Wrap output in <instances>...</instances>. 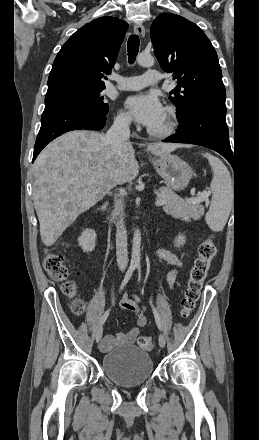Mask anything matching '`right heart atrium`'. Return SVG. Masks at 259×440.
<instances>
[{
	"mask_svg": "<svg viewBox=\"0 0 259 440\" xmlns=\"http://www.w3.org/2000/svg\"><path fill=\"white\" fill-rule=\"evenodd\" d=\"M115 124L120 128H127L130 124L129 115L126 112L120 110L115 117Z\"/></svg>",
	"mask_w": 259,
	"mask_h": 440,
	"instance_id": "1",
	"label": "right heart atrium"
}]
</instances>
